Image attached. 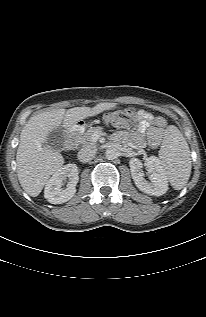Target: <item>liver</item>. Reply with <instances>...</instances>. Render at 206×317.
Listing matches in <instances>:
<instances>
[{
  "instance_id": "obj_1",
  "label": "liver",
  "mask_w": 206,
  "mask_h": 317,
  "mask_svg": "<svg viewBox=\"0 0 206 317\" xmlns=\"http://www.w3.org/2000/svg\"><path fill=\"white\" fill-rule=\"evenodd\" d=\"M116 105L104 102L92 108H60L31 117L21 131L16 155L17 176L24 191L32 197L38 196L50 176L64 163V158L58 151L43 145L51 131L60 126L71 128L87 117L116 108Z\"/></svg>"
}]
</instances>
